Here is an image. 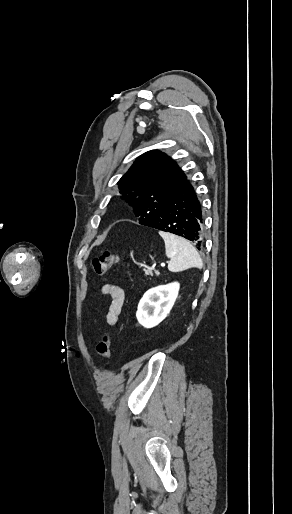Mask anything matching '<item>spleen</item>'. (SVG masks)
Listing matches in <instances>:
<instances>
[{"label": "spleen", "mask_w": 292, "mask_h": 514, "mask_svg": "<svg viewBox=\"0 0 292 514\" xmlns=\"http://www.w3.org/2000/svg\"><path fill=\"white\" fill-rule=\"evenodd\" d=\"M159 236L163 238L166 256L170 258L169 272H183L188 268H199L201 270L203 262L198 252L185 238L169 234V232H159Z\"/></svg>", "instance_id": "obj_1"}]
</instances>
